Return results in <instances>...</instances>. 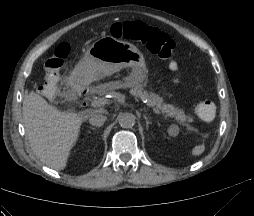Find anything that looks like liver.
Here are the masks:
<instances>
[{"instance_id":"obj_1","label":"liver","mask_w":254,"mask_h":216,"mask_svg":"<svg viewBox=\"0 0 254 216\" xmlns=\"http://www.w3.org/2000/svg\"><path fill=\"white\" fill-rule=\"evenodd\" d=\"M22 110L26 135L35 155L50 168L63 170L87 117L81 112L60 111L35 92L25 95Z\"/></svg>"}]
</instances>
